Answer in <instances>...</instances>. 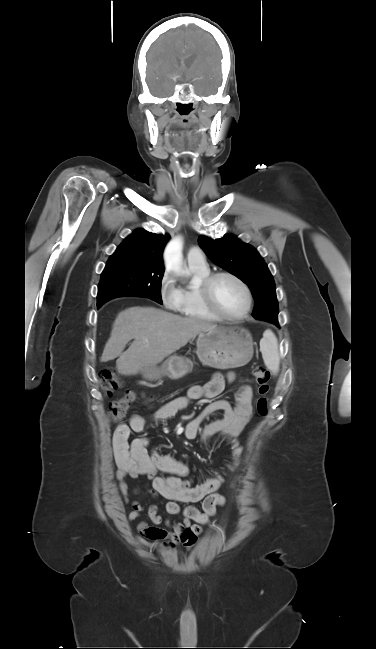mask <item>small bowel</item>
<instances>
[{
  "mask_svg": "<svg viewBox=\"0 0 376 649\" xmlns=\"http://www.w3.org/2000/svg\"><path fill=\"white\" fill-rule=\"evenodd\" d=\"M234 373L223 375L215 373L203 385H193L188 389L187 396L175 398L159 407L150 417L152 421L162 422L174 417L184 410L191 401L203 397L214 398L224 388L226 382H232ZM235 406L223 399L213 400L208 403L201 413L190 420L184 427L187 439H195L201 422L209 415L219 412L221 417L207 424L201 434L200 441L206 445L210 442H227L231 449V461L225 472H216L212 478L193 484L189 477V467L159 449H149V440L140 437L129 441L131 432L143 431L147 419L142 415H132L129 423L119 424L112 436L115 466L117 468L115 479L118 489L125 503H131L128 520L133 522L139 519L143 506L140 502L129 498L128 481L144 476L151 482V494L167 500L165 511L167 516L160 513L156 505L147 508V514L153 525L139 521L136 529V540L150 549H163L171 552L178 544L191 548L196 543L203 526L208 524L215 515L217 506L226 502L222 495L216 492L225 481V475L234 472L240 463L243 448L239 443V436L245 429L253 414V389L249 384H244L238 391ZM167 476H160L159 473ZM202 501L203 510L192 505L182 507L181 504H191ZM180 515V521H172L169 517ZM164 524L169 529L159 528Z\"/></svg>",
  "mask_w": 376,
  "mask_h": 649,
  "instance_id": "small-bowel-1",
  "label": "small bowel"
}]
</instances>
